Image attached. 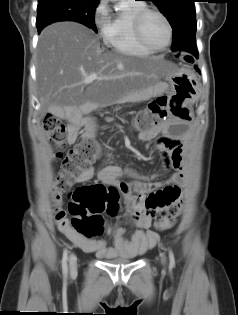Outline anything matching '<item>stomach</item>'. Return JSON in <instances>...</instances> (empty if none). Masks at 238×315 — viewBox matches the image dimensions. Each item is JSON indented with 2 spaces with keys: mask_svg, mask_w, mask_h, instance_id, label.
<instances>
[{
  "mask_svg": "<svg viewBox=\"0 0 238 315\" xmlns=\"http://www.w3.org/2000/svg\"><path fill=\"white\" fill-rule=\"evenodd\" d=\"M163 79L170 83L172 92L168 103V115L175 122H194L195 109L192 105L200 98L201 85L196 84L195 72H167Z\"/></svg>",
  "mask_w": 238,
  "mask_h": 315,
  "instance_id": "0dacf381",
  "label": "stomach"
}]
</instances>
